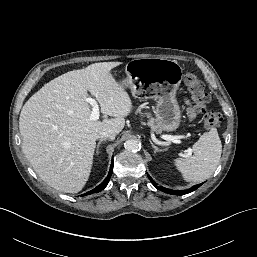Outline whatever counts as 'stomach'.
Instances as JSON below:
<instances>
[{"mask_svg": "<svg viewBox=\"0 0 257 257\" xmlns=\"http://www.w3.org/2000/svg\"><path fill=\"white\" fill-rule=\"evenodd\" d=\"M125 71L127 77L121 85L130 88L134 96L155 99V121L159 128L176 130L181 119L176 100L183 73L179 63L170 59L138 58L129 61Z\"/></svg>", "mask_w": 257, "mask_h": 257, "instance_id": "1", "label": "stomach"}]
</instances>
